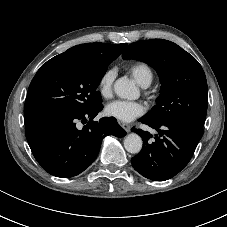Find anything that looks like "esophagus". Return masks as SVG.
<instances>
[{"instance_id": "34e87169", "label": "esophagus", "mask_w": 227, "mask_h": 227, "mask_svg": "<svg viewBox=\"0 0 227 227\" xmlns=\"http://www.w3.org/2000/svg\"><path fill=\"white\" fill-rule=\"evenodd\" d=\"M120 126L128 133L131 130V126L124 123V122H119Z\"/></svg>"}]
</instances>
